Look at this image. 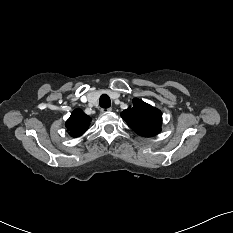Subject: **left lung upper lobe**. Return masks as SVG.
<instances>
[{
    "instance_id": "1",
    "label": "left lung upper lobe",
    "mask_w": 233,
    "mask_h": 233,
    "mask_svg": "<svg viewBox=\"0 0 233 233\" xmlns=\"http://www.w3.org/2000/svg\"><path fill=\"white\" fill-rule=\"evenodd\" d=\"M121 117L140 136L150 137L161 131V112L140 99H133V107L124 110Z\"/></svg>"
}]
</instances>
